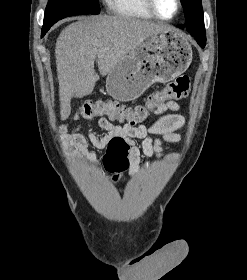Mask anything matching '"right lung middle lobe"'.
<instances>
[{
	"instance_id": "1",
	"label": "right lung middle lobe",
	"mask_w": 247,
	"mask_h": 280,
	"mask_svg": "<svg viewBox=\"0 0 247 280\" xmlns=\"http://www.w3.org/2000/svg\"><path fill=\"white\" fill-rule=\"evenodd\" d=\"M98 0H49L45 10L43 28L51 27L57 21L79 14H99Z\"/></svg>"
}]
</instances>
